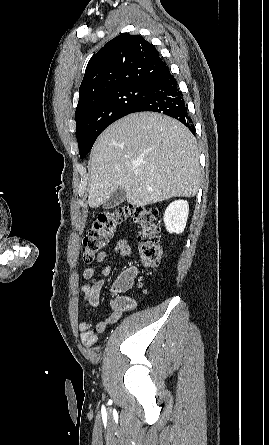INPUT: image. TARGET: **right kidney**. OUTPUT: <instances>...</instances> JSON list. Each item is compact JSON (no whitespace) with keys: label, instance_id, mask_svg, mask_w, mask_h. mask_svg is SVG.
Returning a JSON list of instances; mask_svg holds the SVG:
<instances>
[{"label":"right kidney","instance_id":"1","mask_svg":"<svg viewBox=\"0 0 269 445\" xmlns=\"http://www.w3.org/2000/svg\"><path fill=\"white\" fill-rule=\"evenodd\" d=\"M189 213L187 201L176 200L165 210L164 223L170 233L180 234L184 231Z\"/></svg>","mask_w":269,"mask_h":445}]
</instances>
